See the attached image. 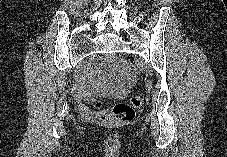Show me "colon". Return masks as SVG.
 I'll list each match as a JSON object with an SVG mask.
<instances>
[{
    "instance_id": "5ec220e1",
    "label": "colon",
    "mask_w": 227,
    "mask_h": 157,
    "mask_svg": "<svg viewBox=\"0 0 227 157\" xmlns=\"http://www.w3.org/2000/svg\"><path fill=\"white\" fill-rule=\"evenodd\" d=\"M143 103V96H133L130 100V104L117 103L113 106L109 113L102 116V121L108 124H118L130 121L135 116V108L142 106ZM93 105L95 108H99L101 106V102L96 100L93 102Z\"/></svg>"
}]
</instances>
